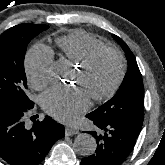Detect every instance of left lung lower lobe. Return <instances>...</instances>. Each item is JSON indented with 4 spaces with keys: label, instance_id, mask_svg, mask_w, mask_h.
I'll return each mask as SVG.
<instances>
[{
    "label": "left lung lower lobe",
    "instance_id": "0a47b994",
    "mask_svg": "<svg viewBox=\"0 0 165 165\" xmlns=\"http://www.w3.org/2000/svg\"><path fill=\"white\" fill-rule=\"evenodd\" d=\"M88 118L96 126V131L90 133L96 139L97 149L93 155L83 158L81 165H121L133 150L141 128Z\"/></svg>",
    "mask_w": 165,
    "mask_h": 165
}]
</instances>
